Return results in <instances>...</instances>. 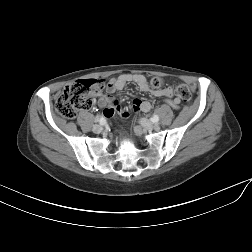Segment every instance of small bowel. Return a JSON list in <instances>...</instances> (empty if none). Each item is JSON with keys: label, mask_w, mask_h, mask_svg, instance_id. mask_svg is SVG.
<instances>
[{"label": "small bowel", "mask_w": 252, "mask_h": 252, "mask_svg": "<svg viewBox=\"0 0 252 252\" xmlns=\"http://www.w3.org/2000/svg\"><path fill=\"white\" fill-rule=\"evenodd\" d=\"M127 84L136 85L141 92L150 91L145 76L141 74L124 73L119 75L117 78L109 80L106 85V94H98L97 101L98 106L105 108L103 113L105 117H111L115 111H118L123 118L128 117V112L120 108L117 99L112 95L114 92L122 90ZM152 94L156 97L168 98L167 103L174 109H178L180 107L181 101L179 98L173 96L171 88L155 90ZM133 107L136 110L148 112L151 110L152 105L149 101L134 99ZM124 112H126V116H122Z\"/></svg>", "instance_id": "1"}]
</instances>
